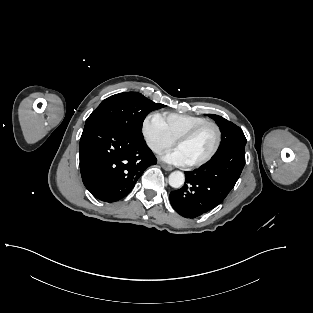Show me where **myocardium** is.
<instances>
[{
  "label": "myocardium",
  "instance_id": "f54148a6",
  "mask_svg": "<svg viewBox=\"0 0 313 313\" xmlns=\"http://www.w3.org/2000/svg\"><path fill=\"white\" fill-rule=\"evenodd\" d=\"M211 126L214 128L215 133H216V141H215V145L213 147V149L211 150V152L204 157L203 159L190 163L189 166L191 167H201L205 164H207L209 161H211L215 155L217 154V152L219 151V148L221 146V142H222V131L220 126L218 125V123L211 121V120H207L201 124H198L197 126L191 128L190 130L186 131L185 133H183L182 135H180L176 140H175V144L178 145L182 142H186L190 139H192L195 135H197L201 130H203L204 128Z\"/></svg>",
  "mask_w": 313,
  "mask_h": 313
}]
</instances>
